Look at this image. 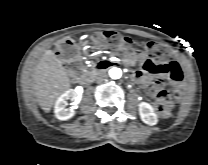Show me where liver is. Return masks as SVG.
Returning <instances> with one entry per match:
<instances>
[{"label":"liver","mask_w":208,"mask_h":165,"mask_svg":"<svg viewBox=\"0 0 208 165\" xmlns=\"http://www.w3.org/2000/svg\"><path fill=\"white\" fill-rule=\"evenodd\" d=\"M34 88L41 109L49 112L56 99L70 87L63 62L52 50H46L34 71Z\"/></svg>","instance_id":"1"}]
</instances>
